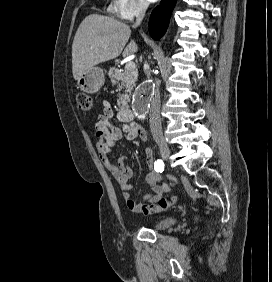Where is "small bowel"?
Returning a JSON list of instances; mask_svg holds the SVG:
<instances>
[{
	"instance_id": "1",
	"label": "small bowel",
	"mask_w": 272,
	"mask_h": 282,
	"mask_svg": "<svg viewBox=\"0 0 272 282\" xmlns=\"http://www.w3.org/2000/svg\"><path fill=\"white\" fill-rule=\"evenodd\" d=\"M114 117V111L108 102H104L102 113H100L95 122V135L98 139L96 144L97 152L100 155L104 166L111 173V175L120 184L123 199L126 206L132 212H141L145 204L157 203L161 195L166 192L170 185H160L161 175L155 171L146 176V181L151 187V192L143 195L140 199L132 195L134 184L131 183L133 177V170L127 163L125 156H120L116 161L110 157L117 141L123 137L127 140H135L139 138L142 143L147 140L146 132L142 126L137 122L129 124H122L114 126L110 120ZM146 164L149 168L153 167V154L149 149H145ZM172 180V177L169 176Z\"/></svg>"
}]
</instances>
